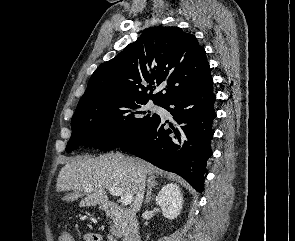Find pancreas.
Masks as SVG:
<instances>
[{
  "label": "pancreas",
  "instance_id": "1",
  "mask_svg": "<svg viewBox=\"0 0 295 241\" xmlns=\"http://www.w3.org/2000/svg\"><path fill=\"white\" fill-rule=\"evenodd\" d=\"M127 231V221L124 219L114 221L110 226V232L115 236H122Z\"/></svg>",
  "mask_w": 295,
  "mask_h": 241
}]
</instances>
